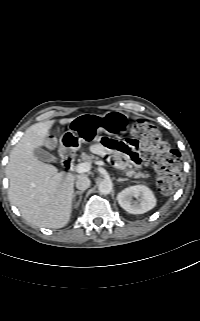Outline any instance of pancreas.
Listing matches in <instances>:
<instances>
[{
	"label": "pancreas",
	"mask_w": 200,
	"mask_h": 321,
	"mask_svg": "<svg viewBox=\"0 0 200 321\" xmlns=\"http://www.w3.org/2000/svg\"><path fill=\"white\" fill-rule=\"evenodd\" d=\"M81 160L87 163H96L99 161V157L94 156V155H87V154H82L81 155ZM126 176L128 177H133V178H148L150 175L148 174L147 171L141 172V171H136L135 169H125L124 170Z\"/></svg>",
	"instance_id": "1"
}]
</instances>
